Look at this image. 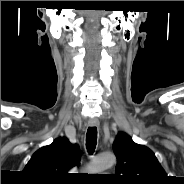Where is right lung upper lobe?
Returning <instances> with one entry per match:
<instances>
[{"mask_svg":"<svg viewBox=\"0 0 184 184\" xmlns=\"http://www.w3.org/2000/svg\"><path fill=\"white\" fill-rule=\"evenodd\" d=\"M79 161V147L59 137L36 151L23 171L36 183L63 184L69 180L68 171Z\"/></svg>","mask_w":184,"mask_h":184,"instance_id":"1","label":"right lung upper lobe"}]
</instances>
